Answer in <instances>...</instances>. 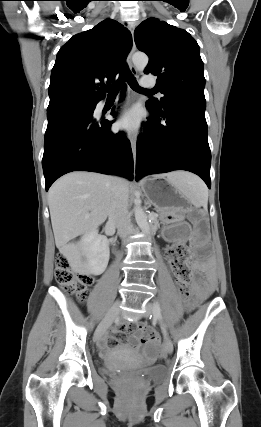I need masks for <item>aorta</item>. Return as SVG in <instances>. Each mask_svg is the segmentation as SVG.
<instances>
[{
    "instance_id": "obj_1",
    "label": "aorta",
    "mask_w": 261,
    "mask_h": 427,
    "mask_svg": "<svg viewBox=\"0 0 261 427\" xmlns=\"http://www.w3.org/2000/svg\"><path fill=\"white\" fill-rule=\"evenodd\" d=\"M148 60H149L148 56L144 53H136L132 57L133 64L138 70H144L148 64ZM134 213H135L136 222L140 227V229L145 234H150L151 225L148 222V216L142 209L140 202H137V201L135 202Z\"/></svg>"
}]
</instances>
